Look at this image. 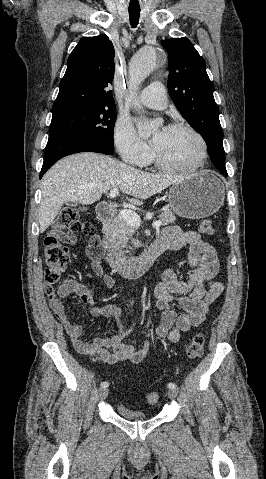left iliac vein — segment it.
<instances>
[{
  "instance_id": "obj_1",
  "label": "left iliac vein",
  "mask_w": 266,
  "mask_h": 479,
  "mask_svg": "<svg viewBox=\"0 0 266 479\" xmlns=\"http://www.w3.org/2000/svg\"><path fill=\"white\" fill-rule=\"evenodd\" d=\"M177 395H178V391L176 389H172V390L168 391V396L171 399H176Z\"/></svg>"
}]
</instances>
